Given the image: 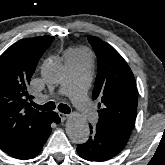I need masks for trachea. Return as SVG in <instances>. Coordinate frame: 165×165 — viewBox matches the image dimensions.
<instances>
[{
    "label": "trachea",
    "mask_w": 165,
    "mask_h": 165,
    "mask_svg": "<svg viewBox=\"0 0 165 165\" xmlns=\"http://www.w3.org/2000/svg\"><path fill=\"white\" fill-rule=\"evenodd\" d=\"M33 106L39 110L52 111L56 108L54 102L50 101L44 105L33 104ZM58 110L62 113L69 114L71 112L70 108L66 104H59Z\"/></svg>",
    "instance_id": "3493384b"
}]
</instances>
